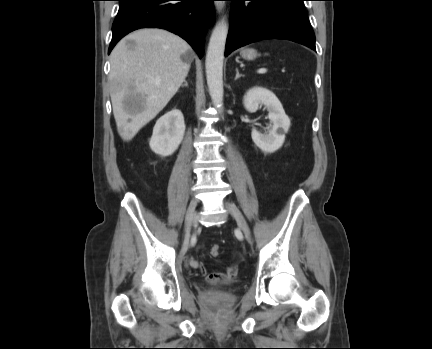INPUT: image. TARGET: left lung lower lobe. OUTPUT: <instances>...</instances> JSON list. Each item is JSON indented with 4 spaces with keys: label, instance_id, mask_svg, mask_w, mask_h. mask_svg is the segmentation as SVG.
<instances>
[{
    "label": "left lung lower lobe",
    "instance_id": "0a47b994",
    "mask_svg": "<svg viewBox=\"0 0 432 349\" xmlns=\"http://www.w3.org/2000/svg\"><path fill=\"white\" fill-rule=\"evenodd\" d=\"M230 29L225 56L264 39H286L313 50L315 35L308 20L305 0H230Z\"/></svg>",
    "mask_w": 432,
    "mask_h": 349
}]
</instances>
